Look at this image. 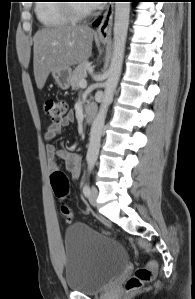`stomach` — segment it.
<instances>
[{
  "mask_svg": "<svg viewBox=\"0 0 195 299\" xmlns=\"http://www.w3.org/2000/svg\"><path fill=\"white\" fill-rule=\"evenodd\" d=\"M100 41L102 43H106V39L100 38ZM52 77L55 81V83L63 90H66L71 85V79H72V70L71 68L63 69L60 71H53Z\"/></svg>",
  "mask_w": 195,
  "mask_h": 299,
  "instance_id": "stomach-1",
  "label": "stomach"
}]
</instances>
